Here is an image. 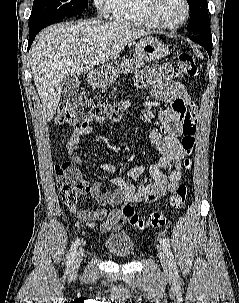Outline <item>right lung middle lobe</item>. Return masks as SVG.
<instances>
[{"mask_svg": "<svg viewBox=\"0 0 239 303\" xmlns=\"http://www.w3.org/2000/svg\"><path fill=\"white\" fill-rule=\"evenodd\" d=\"M87 8L88 0H34L29 27L54 17L80 14Z\"/></svg>", "mask_w": 239, "mask_h": 303, "instance_id": "1", "label": "right lung middle lobe"}]
</instances>
